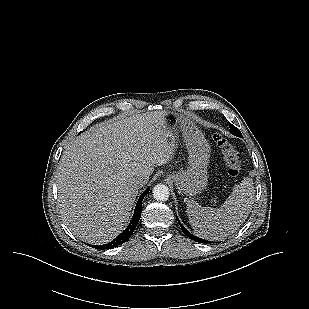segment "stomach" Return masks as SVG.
Returning <instances> with one entry per match:
<instances>
[{
    "label": "stomach",
    "instance_id": "obj_1",
    "mask_svg": "<svg viewBox=\"0 0 309 309\" xmlns=\"http://www.w3.org/2000/svg\"><path fill=\"white\" fill-rule=\"evenodd\" d=\"M163 119L169 129H180L189 154L187 169L172 172L168 177L182 194L189 198L195 197L208 185L210 146L203 133L187 117L165 111Z\"/></svg>",
    "mask_w": 309,
    "mask_h": 309
}]
</instances>
